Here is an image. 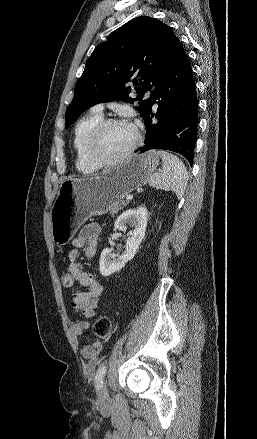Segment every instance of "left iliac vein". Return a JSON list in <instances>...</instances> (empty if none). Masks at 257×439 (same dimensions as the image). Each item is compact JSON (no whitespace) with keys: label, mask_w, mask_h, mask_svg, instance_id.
Segmentation results:
<instances>
[{"label":"left iliac vein","mask_w":257,"mask_h":439,"mask_svg":"<svg viewBox=\"0 0 257 439\" xmlns=\"http://www.w3.org/2000/svg\"><path fill=\"white\" fill-rule=\"evenodd\" d=\"M108 398H109V394H108V389H107V383L104 382L101 386V389H100V393L98 396V402H100V403L105 402L108 400Z\"/></svg>","instance_id":"left-iliac-vein-1"}]
</instances>
